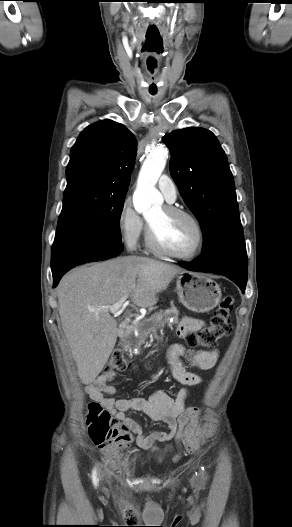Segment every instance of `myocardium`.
<instances>
[{"instance_id":"1","label":"myocardium","mask_w":292,"mask_h":527,"mask_svg":"<svg viewBox=\"0 0 292 527\" xmlns=\"http://www.w3.org/2000/svg\"><path fill=\"white\" fill-rule=\"evenodd\" d=\"M163 209L169 213V214H177L187 217L192 221L194 224L196 231H197V241L193 249L188 253H177L174 251H171L167 248H165L160 242L158 241L153 228L147 221V228H146V242L148 247L153 250L154 252L167 256L170 258L178 259V260H191L197 257L203 250L204 244H205V231L203 228V225L201 221L198 219V217L193 214L191 211L173 206V205H164Z\"/></svg>"}]
</instances>
